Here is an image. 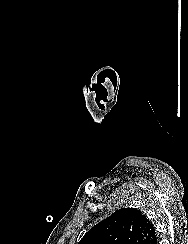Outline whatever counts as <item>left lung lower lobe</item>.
<instances>
[{
  "instance_id": "left-lung-lower-lobe-1",
  "label": "left lung lower lobe",
  "mask_w": 188,
  "mask_h": 244,
  "mask_svg": "<svg viewBox=\"0 0 188 244\" xmlns=\"http://www.w3.org/2000/svg\"><path fill=\"white\" fill-rule=\"evenodd\" d=\"M153 244H157V238H156V240L153 242Z\"/></svg>"
}]
</instances>
